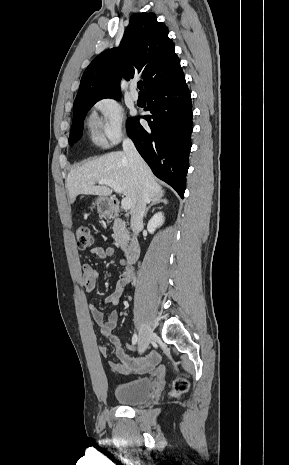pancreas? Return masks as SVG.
<instances>
[{"mask_svg": "<svg viewBox=\"0 0 289 465\" xmlns=\"http://www.w3.org/2000/svg\"><path fill=\"white\" fill-rule=\"evenodd\" d=\"M112 237L115 240V244L122 250L127 248L129 241L128 231L126 229L125 222L121 219H116L114 221Z\"/></svg>", "mask_w": 289, "mask_h": 465, "instance_id": "cf45deb5", "label": "pancreas"}]
</instances>
